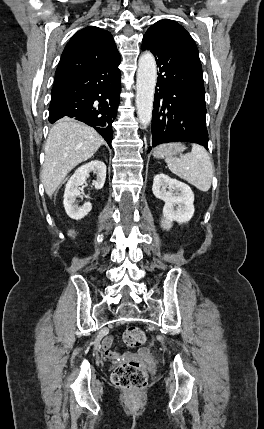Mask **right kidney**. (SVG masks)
Here are the masks:
<instances>
[{
  "instance_id": "obj_1",
  "label": "right kidney",
  "mask_w": 264,
  "mask_h": 429,
  "mask_svg": "<svg viewBox=\"0 0 264 429\" xmlns=\"http://www.w3.org/2000/svg\"><path fill=\"white\" fill-rule=\"evenodd\" d=\"M90 172L97 175V179L94 181L95 189L103 188L106 179V165L99 160H93L79 167L66 184L63 204L67 215L74 220L84 218L92 209L90 202L84 203L83 206L75 204L76 198L81 197L79 186L86 182Z\"/></svg>"
}]
</instances>
